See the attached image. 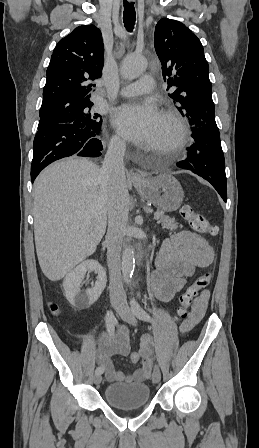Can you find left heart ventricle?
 <instances>
[{"instance_id": "left-heart-ventricle-1", "label": "left heart ventricle", "mask_w": 259, "mask_h": 448, "mask_svg": "<svg viewBox=\"0 0 259 448\" xmlns=\"http://www.w3.org/2000/svg\"><path fill=\"white\" fill-rule=\"evenodd\" d=\"M174 129L171 123L161 118L158 126L150 133V144L156 150H162L173 138Z\"/></svg>"}]
</instances>
